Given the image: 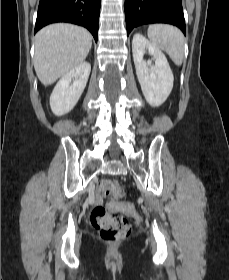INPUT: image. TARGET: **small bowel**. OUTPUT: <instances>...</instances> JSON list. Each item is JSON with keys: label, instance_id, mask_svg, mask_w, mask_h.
I'll list each match as a JSON object with an SVG mask.
<instances>
[{"label": "small bowel", "instance_id": "1", "mask_svg": "<svg viewBox=\"0 0 229 280\" xmlns=\"http://www.w3.org/2000/svg\"><path fill=\"white\" fill-rule=\"evenodd\" d=\"M97 201H98V202L100 201V198H99V197L97 198ZM108 207H109L110 209H116V208H117V205H116L115 203H113V202H109V203H108Z\"/></svg>", "mask_w": 229, "mask_h": 280}]
</instances>
